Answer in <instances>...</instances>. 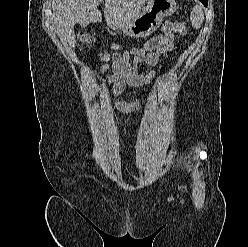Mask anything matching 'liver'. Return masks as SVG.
Masks as SVG:
<instances>
[{"label": "liver", "mask_w": 248, "mask_h": 247, "mask_svg": "<svg viewBox=\"0 0 248 247\" xmlns=\"http://www.w3.org/2000/svg\"><path fill=\"white\" fill-rule=\"evenodd\" d=\"M148 0H105L104 17L112 29H121L140 13ZM102 0H51L53 20L61 40L75 46L74 25L86 27L90 23L101 22L98 10Z\"/></svg>", "instance_id": "liver-1"}]
</instances>
